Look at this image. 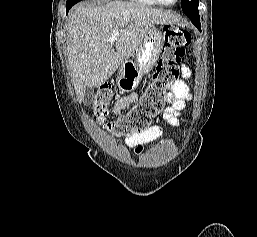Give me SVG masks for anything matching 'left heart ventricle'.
Segmentation results:
<instances>
[{
	"label": "left heart ventricle",
	"mask_w": 257,
	"mask_h": 237,
	"mask_svg": "<svg viewBox=\"0 0 257 237\" xmlns=\"http://www.w3.org/2000/svg\"><path fill=\"white\" fill-rule=\"evenodd\" d=\"M164 2H166V3H172V2H174L175 0H163Z\"/></svg>",
	"instance_id": "1"
}]
</instances>
